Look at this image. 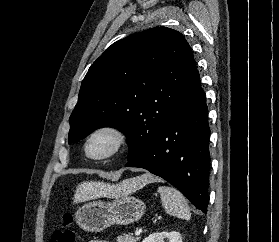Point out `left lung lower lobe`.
Returning a JSON list of instances; mask_svg holds the SVG:
<instances>
[{
	"mask_svg": "<svg viewBox=\"0 0 279 242\" xmlns=\"http://www.w3.org/2000/svg\"><path fill=\"white\" fill-rule=\"evenodd\" d=\"M162 177L199 210L207 212L210 175L205 93L196 70L183 98L147 150L128 161Z\"/></svg>",
	"mask_w": 279,
	"mask_h": 242,
	"instance_id": "0a47b994",
	"label": "left lung lower lobe"
}]
</instances>
